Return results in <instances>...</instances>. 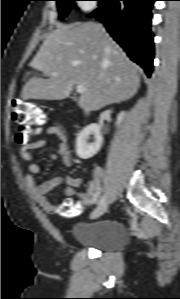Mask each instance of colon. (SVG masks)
I'll return each mask as SVG.
<instances>
[{
	"mask_svg": "<svg viewBox=\"0 0 180 299\" xmlns=\"http://www.w3.org/2000/svg\"><path fill=\"white\" fill-rule=\"evenodd\" d=\"M11 116L12 120L19 126L16 142L26 148L33 141L32 137L40 131L45 123V115L42 109L34 103L13 101ZM81 211V207L72 202H67L60 207V212L67 216H76Z\"/></svg>",
	"mask_w": 180,
	"mask_h": 299,
	"instance_id": "1",
	"label": "colon"
}]
</instances>
